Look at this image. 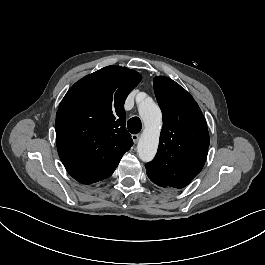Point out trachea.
<instances>
[{
  "label": "trachea",
  "mask_w": 265,
  "mask_h": 265,
  "mask_svg": "<svg viewBox=\"0 0 265 265\" xmlns=\"http://www.w3.org/2000/svg\"><path fill=\"white\" fill-rule=\"evenodd\" d=\"M128 130L132 134H137L141 131L142 123L139 117H133L130 120H128L127 123Z\"/></svg>",
  "instance_id": "1"
}]
</instances>
